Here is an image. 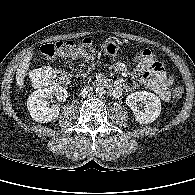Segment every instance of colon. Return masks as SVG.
<instances>
[{
    "label": "colon",
    "mask_w": 195,
    "mask_h": 195,
    "mask_svg": "<svg viewBox=\"0 0 195 195\" xmlns=\"http://www.w3.org/2000/svg\"><path fill=\"white\" fill-rule=\"evenodd\" d=\"M40 52L47 60L67 57H78L84 60L95 58V48L90 39H82L78 42L58 41L46 43L41 46ZM134 61L150 71L160 72L162 70V62L148 49L139 51L134 56ZM29 79L35 86L41 87L67 84L70 77L63 69L45 65L31 70ZM183 93V88L178 86L173 90L172 96L175 100H179Z\"/></svg>",
    "instance_id": "1"
}]
</instances>
